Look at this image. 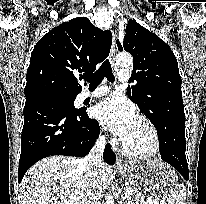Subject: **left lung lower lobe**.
I'll return each mask as SVG.
<instances>
[{
    "instance_id": "1",
    "label": "left lung lower lobe",
    "mask_w": 206,
    "mask_h": 204,
    "mask_svg": "<svg viewBox=\"0 0 206 204\" xmlns=\"http://www.w3.org/2000/svg\"><path fill=\"white\" fill-rule=\"evenodd\" d=\"M159 140L161 158L188 180V165L185 155V117L170 121L165 133L159 136Z\"/></svg>"
}]
</instances>
